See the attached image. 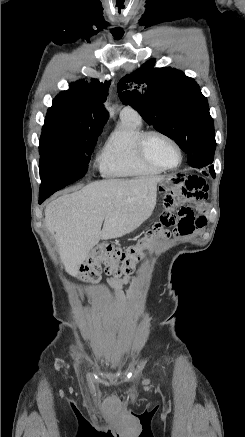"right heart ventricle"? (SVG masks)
Returning <instances> with one entry per match:
<instances>
[{
	"mask_svg": "<svg viewBox=\"0 0 245 437\" xmlns=\"http://www.w3.org/2000/svg\"><path fill=\"white\" fill-rule=\"evenodd\" d=\"M145 132L140 119L121 117L100 156L102 173L110 177L157 175L163 170L149 165L137 151V141Z\"/></svg>",
	"mask_w": 245,
	"mask_h": 437,
	"instance_id": "obj_1",
	"label": "right heart ventricle"
}]
</instances>
